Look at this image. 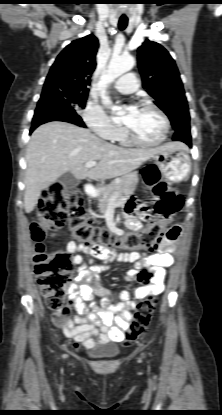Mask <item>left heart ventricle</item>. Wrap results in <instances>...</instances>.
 Returning a JSON list of instances; mask_svg holds the SVG:
<instances>
[{
  "label": "left heart ventricle",
  "instance_id": "left-heart-ventricle-1",
  "mask_svg": "<svg viewBox=\"0 0 222 415\" xmlns=\"http://www.w3.org/2000/svg\"><path fill=\"white\" fill-rule=\"evenodd\" d=\"M122 123L131 128L138 137L145 141H156L161 138L164 124L156 111L150 108H138L135 113L126 112Z\"/></svg>",
  "mask_w": 222,
  "mask_h": 415
}]
</instances>
